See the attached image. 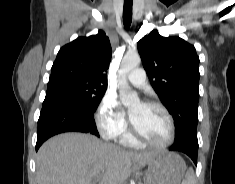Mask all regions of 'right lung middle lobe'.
<instances>
[{
  "mask_svg": "<svg viewBox=\"0 0 235 184\" xmlns=\"http://www.w3.org/2000/svg\"><path fill=\"white\" fill-rule=\"evenodd\" d=\"M106 89L107 86L85 84L74 80H68L58 88V91L75 99L89 111L95 112Z\"/></svg>",
  "mask_w": 235,
  "mask_h": 184,
  "instance_id": "1",
  "label": "right lung middle lobe"
}]
</instances>
